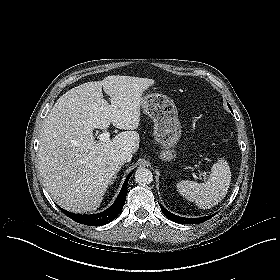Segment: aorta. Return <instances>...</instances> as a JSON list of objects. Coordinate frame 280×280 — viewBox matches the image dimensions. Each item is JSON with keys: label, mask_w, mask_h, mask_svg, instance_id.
Segmentation results:
<instances>
[{"label": "aorta", "mask_w": 280, "mask_h": 280, "mask_svg": "<svg viewBox=\"0 0 280 280\" xmlns=\"http://www.w3.org/2000/svg\"><path fill=\"white\" fill-rule=\"evenodd\" d=\"M135 181L139 185H148L153 181L152 172L147 168H138L135 172Z\"/></svg>", "instance_id": "1"}]
</instances>
